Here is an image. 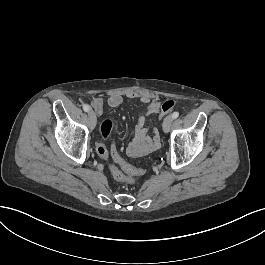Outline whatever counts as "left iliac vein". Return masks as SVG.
<instances>
[{
	"instance_id": "4c4485c4",
	"label": "left iliac vein",
	"mask_w": 265,
	"mask_h": 265,
	"mask_svg": "<svg viewBox=\"0 0 265 265\" xmlns=\"http://www.w3.org/2000/svg\"><path fill=\"white\" fill-rule=\"evenodd\" d=\"M173 117L171 115L167 116L165 119H164V122H163V129L165 132H169L170 128H171V125L173 123Z\"/></svg>"
}]
</instances>
